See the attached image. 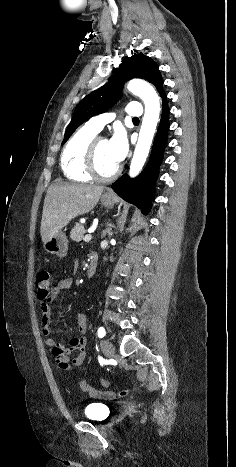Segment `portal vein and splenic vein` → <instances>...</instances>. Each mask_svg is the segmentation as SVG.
Instances as JSON below:
<instances>
[{
  "mask_svg": "<svg viewBox=\"0 0 236 467\" xmlns=\"http://www.w3.org/2000/svg\"><path fill=\"white\" fill-rule=\"evenodd\" d=\"M94 230H95V229H90V230H88V233H89V234L85 235V237H84V240H85V241H90V240H91L92 235H91L90 233L94 232Z\"/></svg>",
  "mask_w": 236,
  "mask_h": 467,
  "instance_id": "portal-vein-and-splenic-vein-1",
  "label": "portal vein and splenic vein"
}]
</instances>
